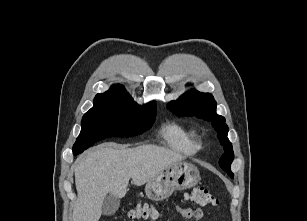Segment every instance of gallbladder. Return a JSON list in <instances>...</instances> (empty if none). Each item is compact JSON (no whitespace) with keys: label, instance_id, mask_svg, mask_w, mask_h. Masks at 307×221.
Instances as JSON below:
<instances>
[{"label":"gallbladder","instance_id":"bac80fb5","mask_svg":"<svg viewBox=\"0 0 307 221\" xmlns=\"http://www.w3.org/2000/svg\"><path fill=\"white\" fill-rule=\"evenodd\" d=\"M119 206L120 199L111 194H107L103 200L102 214L106 216L112 215L118 210Z\"/></svg>","mask_w":307,"mask_h":221}]
</instances>
